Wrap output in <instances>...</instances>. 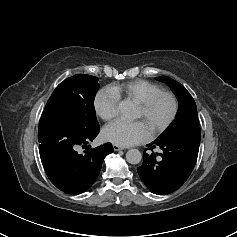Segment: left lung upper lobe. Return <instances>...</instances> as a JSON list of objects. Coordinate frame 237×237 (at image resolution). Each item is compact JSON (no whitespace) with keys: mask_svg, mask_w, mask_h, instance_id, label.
Wrapping results in <instances>:
<instances>
[{"mask_svg":"<svg viewBox=\"0 0 237 237\" xmlns=\"http://www.w3.org/2000/svg\"><path fill=\"white\" fill-rule=\"evenodd\" d=\"M158 80L165 82L172 89L178 99L179 109L174 121L156 140H200L201 133L198 124L197 108L190 93L183 85L167 76H161Z\"/></svg>","mask_w":237,"mask_h":237,"instance_id":"obj_1","label":"left lung upper lobe"}]
</instances>
